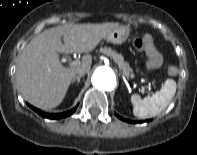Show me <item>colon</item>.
<instances>
[{
	"mask_svg": "<svg viewBox=\"0 0 197 155\" xmlns=\"http://www.w3.org/2000/svg\"><path fill=\"white\" fill-rule=\"evenodd\" d=\"M135 46L138 49L143 50L147 53V55L149 56L150 63L153 66L157 67L161 64V56L157 52V50L154 47V44L151 40H148L147 38L144 41L137 39L135 41ZM170 71L172 72L173 70H170Z\"/></svg>",
	"mask_w": 197,
	"mask_h": 155,
	"instance_id": "5ec220e1",
	"label": "colon"
}]
</instances>
